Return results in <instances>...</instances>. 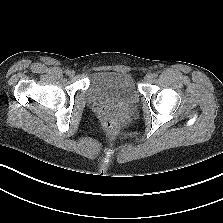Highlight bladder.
<instances>
[{
    "label": "bladder",
    "instance_id": "obj_1",
    "mask_svg": "<svg viewBox=\"0 0 223 223\" xmlns=\"http://www.w3.org/2000/svg\"><path fill=\"white\" fill-rule=\"evenodd\" d=\"M91 102H116L134 105L138 102L131 75L123 72L102 71L91 75L85 92Z\"/></svg>",
    "mask_w": 223,
    "mask_h": 223
}]
</instances>
